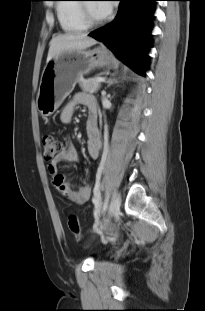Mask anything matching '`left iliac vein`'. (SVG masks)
<instances>
[{"mask_svg":"<svg viewBox=\"0 0 205 311\" xmlns=\"http://www.w3.org/2000/svg\"><path fill=\"white\" fill-rule=\"evenodd\" d=\"M121 205V196L119 193H115L108 208L107 218L104 221V224L100 227V230L104 228V226L110 221V219L116 216L120 211Z\"/></svg>","mask_w":205,"mask_h":311,"instance_id":"obj_1","label":"left iliac vein"}]
</instances>
